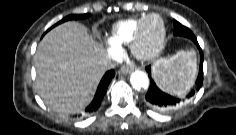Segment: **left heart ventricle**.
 Instances as JSON below:
<instances>
[{
  "label": "left heart ventricle",
  "instance_id": "left-heart-ventricle-1",
  "mask_svg": "<svg viewBox=\"0 0 236 135\" xmlns=\"http://www.w3.org/2000/svg\"><path fill=\"white\" fill-rule=\"evenodd\" d=\"M161 32L160 22L156 18H152L147 23L144 35V46L149 47L159 37Z\"/></svg>",
  "mask_w": 236,
  "mask_h": 135
}]
</instances>
